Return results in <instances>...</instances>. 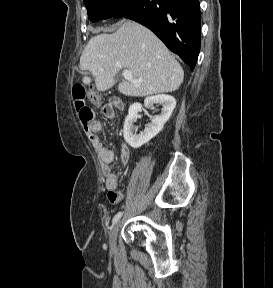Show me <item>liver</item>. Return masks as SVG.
Returning a JSON list of instances; mask_svg holds the SVG:
<instances>
[{
	"mask_svg": "<svg viewBox=\"0 0 273 288\" xmlns=\"http://www.w3.org/2000/svg\"><path fill=\"white\" fill-rule=\"evenodd\" d=\"M79 67L89 71L98 91L112 88L121 69L130 70L132 81L121 82L118 90L132 97L173 92L184 79L181 65L162 41L134 21L124 22L112 34L92 37L80 57ZM82 81L89 85L92 78L84 76Z\"/></svg>",
	"mask_w": 273,
	"mask_h": 288,
	"instance_id": "1",
	"label": "liver"
}]
</instances>
